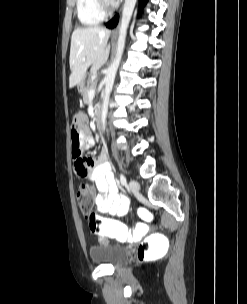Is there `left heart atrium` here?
I'll return each instance as SVG.
<instances>
[{
	"label": "left heart atrium",
	"instance_id": "left-heart-atrium-1",
	"mask_svg": "<svg viewBox=\"0 0 247 304\" xmlns=\"http://www.w3.org/2000/svg\"><path fill=\"white\" fill-rule=\"evenodd\" d=\"M109 1H111V2H117V1H119V0H109Z\"/></svg>",
	"mask_w": 247,
	"mask_h": 304
}]
</instances>
